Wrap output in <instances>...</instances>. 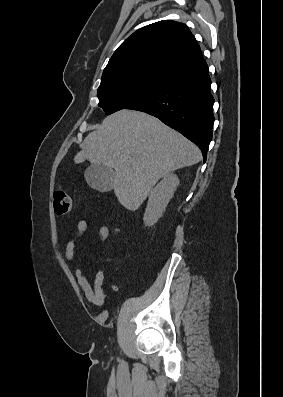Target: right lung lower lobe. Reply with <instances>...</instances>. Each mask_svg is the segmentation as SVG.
I'll return each instance as SVG.
<instances>
[{"instance_id": "right-lung-lower-lobe-1", "label": "right lung lower lobe", "mask_w": 283, "mask_h": 397, "mask_svg": "<svg viewBox=\"0 0 283 397\" xmlns=\"http://www.w3.org/2000/svg\"><path fill=\"white\" fill-rule=\"evenodd\" d=\"M208 67L182 74L125 109L159 118L194 142L206 161L214 124Z\"/></svg>"}]
</instances>
